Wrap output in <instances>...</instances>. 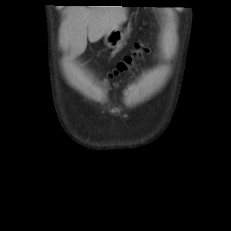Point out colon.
<instances>
[{
	"mask_svg": "<svg viewBox=\"0 0 231 231\" xmlns=\"http://www.w3.org/2000/svg\"><path fill=\"white\" fill-rule=\"evenodd\" d=\"M144 46L142 44H136L133 53L125 56L122 61H120L115 69L110 73V78L119 77L127 72H130L136 65L137 60L141 59L144 54Z\"/></svg>",
	"mask_w": 231,
	"mask_h": 231,
	"instance_id": "5ec220e1",
	"label": "colon"
}]
</instances>
